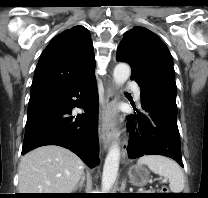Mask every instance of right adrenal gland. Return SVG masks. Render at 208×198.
Masks as SVG:
<instances>
[{
  "mask_svg": "<svg viewBox=\"0 0 208 198\" xmlns=\"http://www.w3.org/2000/svg\"><path fill=\"white\" fill-rule=\"evenodd\" d=\"M84 182H85V173L82 174L81 180L79 181V183L74 188V191H77L78 189L81 190L82 187L84 186Z\"/></svg>",
  "mask_w": 208,
  "mask_h": 198,
  "instance_id": "right-adrenal-gland-1",
  "label": "right adrenal gland"
}]
</instances>
